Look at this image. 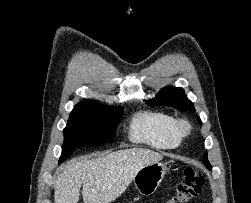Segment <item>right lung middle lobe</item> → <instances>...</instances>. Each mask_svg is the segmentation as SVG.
<instances>
[{"instance_id": "dd1d6c3e", "label": "right lung middle lobe", "mask_w": 251, "mask_h": 203, "mask_svg": "<svg viewBox=\"0 0 251 203\" xmlns=\"http://www.w3.org/2000/svg\"><path fill=\"white\" fill-rule=\"evenodd\" d=\"M121 107L103 105L76 106L63 130L64 142L59 164L81 146H97L114 140L121 120Z\"/></svg>"}]
</instances>
